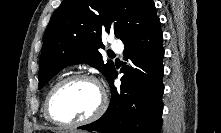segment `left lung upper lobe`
<instances>
[{
	"mask_svg": "<svg viewBox=\"0 0 221 133\" xmlns=\"http://www.w3.org/2000/svg\"><path fill=\"white\" fill-rule=\"evenodd\" d=\"M156 19L153 0H64L44 34L39 58V89L67 65L87 63L107 80L114 64L104 63L98 51L102 33L113 32L126 42Z\"/></svg>",
	"mask_w": 221,
	"mask_h": 133,
	"instance_id": "left-lung-upper-lobe-1",
	"label": "left lung upper lobe"
}]
</instances>
